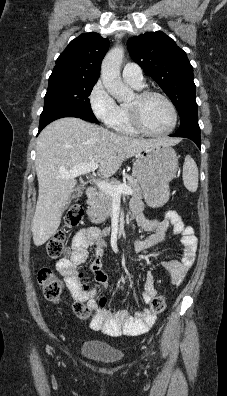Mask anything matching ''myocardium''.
I'll return each instance as SVG.
<instances>
[{"label": "myocardium", "instance_id": "obj_1", "mask_svg": "<svg viewBox=\"0 0 227 396\" xmlns=\"http://www.w3.org/2000/svg\"><path fill=\"white\" fill-rule=\"evenodd\" d=\"M135 96H136L138 102L146 99L149 96H158V97L162 98L168 105V107L171 111V115H172V123L167 130L162 131V132H154V131H150L149 129H147L144 126V124L141 120L138 104H133V105L128 104V111H129L131 123H132L133 127L139 133L147 135V136H151V137H164V136L171 134L175 130V128L177 126V122H178V113H177V109H176L174 103L166 94H164L163 92L157 91V90H153V89H144V90L139 91Z\"/></svg>", "mask_w": 227, "mask_h": 396}]
</instances>
